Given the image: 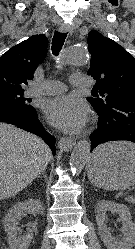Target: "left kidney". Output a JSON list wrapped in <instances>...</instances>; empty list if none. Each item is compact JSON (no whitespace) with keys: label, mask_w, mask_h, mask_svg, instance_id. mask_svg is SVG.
I'll return each mask as SVG.
<instances>
[{"label":"left kidney","mask_w":135,"mask_h":249,"mask_svg":"<svg viewBox=\"0 0 135 249\" xmlns=\"http://www.w3.org/2000/svg\"><path fill=\"white\" fill-rule=\"evenodd\" d=\"M110 211L119 215L122 222V239L116 240L107 229L106 213ZM96 222L99 235L107 249H132L135 245V223L132 221L129 208L124 204H118L107 200H101L95 207Z\"/></svg>","instance_id":"obj_1"}]
</instances>
